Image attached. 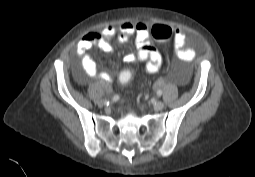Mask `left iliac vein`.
I'll use <instances>...</instances> for the list:
<instances>
[{"label": "left iliac vein", "instance_id": "4c4485c4", "mask_svg": "<svg viewBox=\"0 0 255 177\" xmlns=\"http://www.w3.org/2000/svg\"><path fill=\"white\" fill-rule=\"evenodd\" d=\"M164 108V103L162 101H157L155 104H154V109L156 111H160Z\"/></svg>", "mask_w": 255, "mask_h": 177}]
</instances>
